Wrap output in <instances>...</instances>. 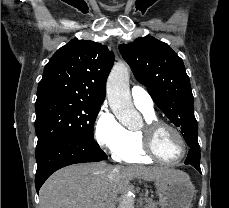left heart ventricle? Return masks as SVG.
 Returning <instances> with one entry per match:
<instances>
[{
  "mask_svg": "<svg viewBox=\"0 0 229 208\" xmlns=\"http://www.w3.org/2000/svg\"><path fill=\"white\" fill-rule=\"evenodd\" d=\"M169 130L171 129L162 128L158 131L156 139H152V151L157 152V157H161V160H176L185 153V147H178V143L169 135Z\"/></svg>",
  "mask_w": 229,
  "mask_h": 208,
  "instance_id": "obj_1",
  "label": "left heart ventricle"
}]
</instances>
